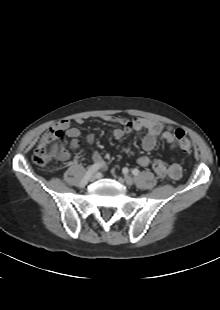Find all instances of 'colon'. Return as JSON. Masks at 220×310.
<instances>
[{
	"instance_id": "obj_1",
	"label": "colon",
	"mask_w": 220,
	"mask_h": 310,
	"mask_svg": "<svg viewBox=\"0 0 220 310\" xmlns=\"http://www.w3.org/2000/svg\"><path fill=\"white\" fill-rule=\"evenodd\" d=\"M174 137L179 149L184 153H190L192 142L182 129L174 131ZM67 148L64 140V132L58 129L47 131L39 141L33 154V160L38 165H46L51 161L65 156Z\"/></svg>"
}]
</instances>
